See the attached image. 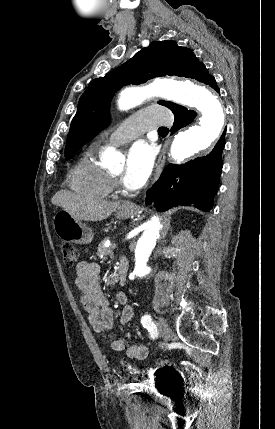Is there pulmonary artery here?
<instances>
[{"mask_svg":"<svg viewBox=\"0 0 275 429\" xmlns=\"http://www.w3.org/2000/svg\"><path fill=\"white\" fill-rule=\"evenodd\" d=\"M171 113L163 107H149L132 115L124 125L114 130L107 142L118 145L128 142L148 129L167 126L172 123Z\"/></svg>","mask_w":275,"mask_h":429,"instance_id":"e3ab8cb5","label":"pulmonary artery"}]
</instances>
